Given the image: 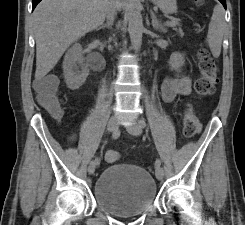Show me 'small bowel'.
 Listing matches in <instances>:
<instances>
[{
	"label": "small bowel",
	"instance_id": "obj_1",
	"mask_svg": "<svg viewBox=\"0 0 245 225\" xmlns=\"http://www.w3.org/2000/svg\"><path fill=\"white\" fill-rule=\"evenodd\" d=\"M55 79L54 75H47L42 77L38 85H45L49 81ZM191 81L187 76H169L162 84V96L166 102L173 101L178 95L186 96L190 93ZM65 142L69 145H76L79 143L76 135H68L65 138ZM119 159V153L117 151H110L106 157V161L110 163H116Z\"/></svg>",
	"mask_w": 245,
	"mask_h": 225
}]
</instances>
